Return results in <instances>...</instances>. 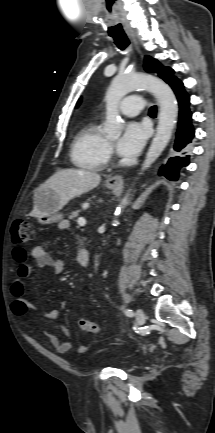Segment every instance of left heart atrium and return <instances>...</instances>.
Masks as SVG:
<instances>
[{
    "mask_svg": "<svg viewBox=\"0 0 215 433\" xmlns=\"http://www.w3.org/2000/svg\"><path fill=\"white\" fill-rule=\"evenodd\" d=\"M148 136L146 125L137 121L126 124L122 137L118 142V151L125 157L136 156L144 146Z\"/></svg>",
    "mask_w": 215,
    "mask_h": 433,
    "instance_id": "left-heart-atrium-1",
    "label": "left heart atrium"
}]
</instances>
